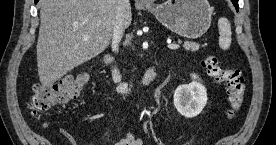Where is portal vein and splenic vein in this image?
Instances as JSON below:
<instances>
[{"label": "portal vein and splenic vein", "instance_id": "1", "mask_svg": "<svg viewBox=\"0 0 276 145\" xmlns=\"http://www.w3.org/2000/svg\"><path fill=\"white\" fill-rule=\"evenodd\" d=\"M89 36L88 35H84L83 39H88ZM169 49L175 50V49H179V45L178 44H168L167 46Z\"/></svg>", "mask_w": 276, "mask_h": 145}]
</instances>
